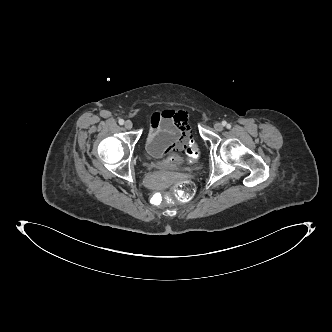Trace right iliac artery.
Instances as JSON below:
<instances>
[{"instance_id": "obj_1", "label": "right iliac artery", "mask_w": 332, "mask_h": 332, "mask_svg": "<svg viewBox=\"0 0 332 332\" xmlns=\"http://www.w3.org/2000/svg\"><path fill=\"white\" fill-rule=\"evenodd\" d=\"M118 122H119L120 125L124 124V120L123 119H120Z\"/></svg>"}]
</instances>
